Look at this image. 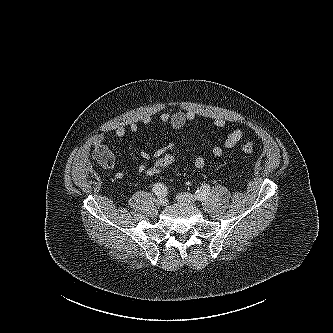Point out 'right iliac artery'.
Here are the masks:
<instances>
[{"instance_id": "82829eb1", "label": "right iliac artery", "mask_w": 333, "mask_h": 333, "mask_svg": "<svg viewBox=\"0 0 333 333\" xmlns=\"http://www.w3.org/2000/svg\"><path fill=\"white\" fill-rule=\"evenodd\" d=\"M153 192L159 196H166L168 194L167 188L162 183H156L153 187Z\"/></svg>"}]
</instances>
